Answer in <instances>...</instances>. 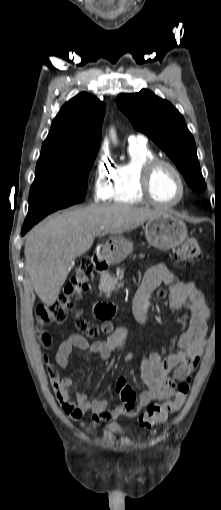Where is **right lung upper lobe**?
<instances>
[{"instance_id": "obj_1", "label": "right lung upper lobe", "mask_w": 221, "mask_h": 510, "mask_svg": "<svg viewBox=\"0 0 221 510\" xmlns=\"http://www.w3.org/2000/svg\"><path fill=\"white\" fill-rule=\"evenodd\" d=\"M105 104L85 92L65 103L52 122L39 159L99 148Z\"/></svg>"}]
</instances>
